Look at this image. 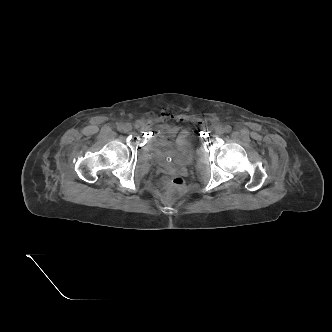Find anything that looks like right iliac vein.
Wrapping results in <instances>:
<instances>
[{
	"label": "right iliac vein",
	"instance_id": "63e3f726",
	"mask_svg": "<svg viewBox=\"0 0 332 332\" xmlns=\"http://www.w3.org/2000/svg\"><path fill=\"white\" fill-rule=\"evenodd\" d=\"M122 129L124 132H130L132 130V125L130 123H126L123 125Z\"/></svg>",
	"mask_w": 332,
	"mask_h": 332
}]
</instances>
